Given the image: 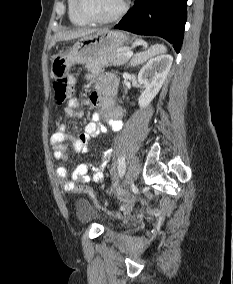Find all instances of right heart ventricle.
Masks as SVG:
<instances>
[{"label": "right heart ventricle", "instance_id": "e07e8e85", "mask_svg": "<svg viewBox=\"0 0 233 284\" xmlns=\"http://www.w3.org/2000/svg\"><path fill=\"white\" fill-rule=\"evenodd\" d=\"M78 0H67V12L70 22L75 26H86L89 22L81 17L77 9Z\"/></svg>", "mask_w": 233, "mask_h": 284}]
</instances>
